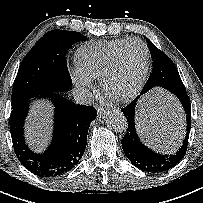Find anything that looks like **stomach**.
Segmentation results:
<instances>
[{"label":"stomach","mask_w":203,"mask_h":203,"mask_svg":"<svg viewBox=\"0 0 203 203\" xmlns=\"http://www.w3.org/2000/svg\"><path fill=\"white\" fill-rule=\"evenodd\" d=\"M171 101H172V102H175V101L172 100V99H171ZM151 104H154V107H156V108H157V107L160 108V106H161L160 104H158L157 102H155V100L153 99V96H152V97L148 98V100L143 103L142 107H143L145 110H147V109L151 106Z\"/></svg>","instance_id":"obj_1"}]
</instances>
